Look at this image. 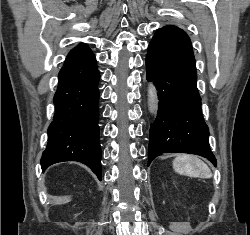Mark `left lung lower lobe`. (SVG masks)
<instances>
[{
    "label": "left lung lower lobe",
    "instance_id": "1",
    "mask_svg": "<svg viewBox=\"0 0 250 235\" xmlns=\"http://www.w3.org/2000/svg\"><path fill=\"white\" fill-rule=\"evenodd\" d=\"M146 74L158 91L159 109L149 136L148 165L165 153L203 156L216 166L201 114L192 44L188 35L158 29L146 57Z\"/></svg>",
    "mask_w": 250,
    "mask_h": 235
}]
</instances>
